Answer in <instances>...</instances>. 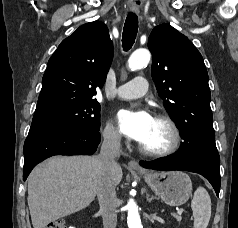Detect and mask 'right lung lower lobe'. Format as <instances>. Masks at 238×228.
Instances as JSON below:
<instances>
[{"label": "right lung lower lobe", "mask_w": 238, "mask_h": 228, "mask_svg": "<svg viewBox=\"0 0 238 228\" xmlns=\"http://www.w3.org/2000/svg\"><path fill=\"white\" fill-rule=\"evenodd\" d=\"M99 131L71 125L32 124L24 143L23 180L41 161L54 155H91L100 143Z\"/></svg>", "instance_id": "98d812e1"}]
</instances>
